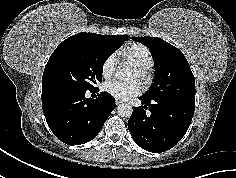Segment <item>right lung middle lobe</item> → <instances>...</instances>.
I'll use <instances>...</instances> for the list:
<instances>
[{
	"mask_svg": "<svg viewBox=\"0 0 236 178\" xmlns=\"http://www.w3.org/2000/svg\"><path fill=\"white\" fill-rule=\"evenodd\" d=\"M127 35L119 39L71 36L64 40L48 60L42 89L69 88L92 90L102 81L103 65L107 57L118 49Z\"/></svg>",
	"mask_w": 236,
	"mask_h": 178,
	"instance_id": "dd1d6c3e",
	"label": "right lung middle lobe"
}]
</instances>
